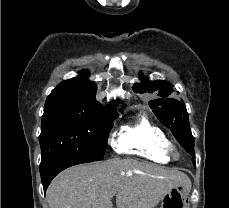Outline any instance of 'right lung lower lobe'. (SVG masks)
Instances as JSON below:
<instances>
[{
	"mask_svg": "<svg viewBox=\"0 0 229 208\" xmlns=\"http://www.w3.org/2000/svg\"><path fill=\"white\" fill-rule=\"evenodd\" d=\"M92 161L94 160L85 157L65 155L56 158L50 164L46 165L43 168H40L44 192H46V189L49 186L52 179L62 170L77 164L88 163Z\"/></svg>",
	"mask_w": 229,
	"mask_h": 208,
	"instance_id": "right-lung-lower-lobe-1",
	"label": "right lung lower lobe"
}]
</instances>
